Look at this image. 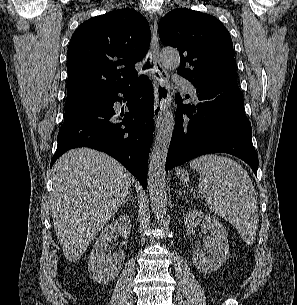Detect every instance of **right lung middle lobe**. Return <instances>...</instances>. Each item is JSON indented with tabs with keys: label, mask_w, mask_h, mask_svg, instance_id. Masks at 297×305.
Returning <instances> with one entry per match:
<instances>
[{
	"label": "right lung middle lobe",
	"mask_w": 297,
	"mask_h": 305,
	"mask_svg": "<svg viewBox=\"0 0 297 305\" xmlns=\"http://www.w3.org/2000/svg\"><path fill=\"white\" fill-rule=\"evenodd\" d=\"M107 95L92 96L66 103L64 121L73 118L86 110L101 105L106 102Z\"/></svg>",
	"instance_id": "right-lung-middle-lobe-1"
}]
</instances>
